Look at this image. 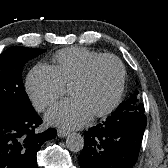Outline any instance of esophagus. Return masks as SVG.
<instances>
[{
  "instance_id": "obj_1",
  "label": "esophagus",
  "mask_w": 168,
  "mask_h": 168,
  "mask_svg": "<svg viewBox=\"0 0 168 168\" xmlns=\"http://www.w3.org/2000/svg\"><path fill=\"white\" fill-rule=\"evenodd\" d=\"M68 134H69V131H67V130L59 129L57 131V135L61 138L66 137Z\"/></svg>"
}]
</instances>
